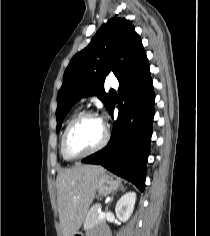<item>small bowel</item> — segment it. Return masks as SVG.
<instances>
[{
	"mask_svg": "<svg viewBox=\"0 0 210 236\" xmlns=\"http://www.w3.org/2000/svg\"><path fill=\"white\" fill-rule=\"evenodd\" d=\"M88 236H108V234L105 231L100 230L97 232H92Z\"/></svg>",
	"mask_w": 210,
	"mask_h": 236,
	"instance_id": "small-bowel-1",
	"label": "small bowel"
}]
</instances>
